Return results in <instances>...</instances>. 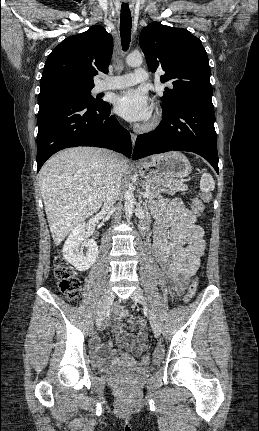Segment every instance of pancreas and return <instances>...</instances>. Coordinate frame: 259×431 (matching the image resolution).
I'll use <instances>...</instances> for the list:
<instances>
[{"label":"pancreas","instance_id":"pancreas-1","mask_svg":"<svg viewBox=\"0 0 259 431\" xmlns=\"http://www.w3.org/2000/svg\"><path fill=\"white\" fill-rule=\"evenodd\" d=\"M143 187L148 190V199H154L159 196L160 193H167L174 195L178 191H186L187 185L182 180H171V179H147L143 181Z\"/></svg>","mask_w":259,"mask_h":431}]
</instances>
